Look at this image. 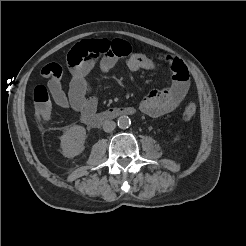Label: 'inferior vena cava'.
<instances>
[{
	"label": "inferior vena cava",
	"mask_w": 246,
	"mask_h": 246,
	"mask_svg": "<svg viewBox=\"0 0 246 246\" xmlns=\"http://www.w3.org/2000/svg\"><path fill=\"white\" fill-rule=\"evenodd\" d=\"M115 127H116V123L111 120H107L103 124V130L105 132H112L115 129Z\"/></svg>",
	"instance_id": "obj_1"
}]
</instances>
